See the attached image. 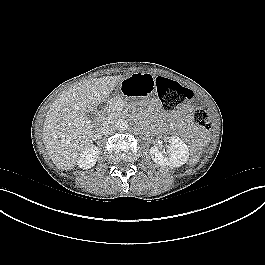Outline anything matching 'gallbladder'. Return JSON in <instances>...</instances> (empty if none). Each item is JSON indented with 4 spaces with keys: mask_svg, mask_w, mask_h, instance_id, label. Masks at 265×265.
Segmentation results:
<instances>
[{
    "mask_svg": "<svg viewBox=\"0 0 265 265\" xmlns=\"http://www.w3.org/2000/svg\"><path fill=\"white\" fill-rule=\"evenodd\" d=\"M86 115L92 120L96 117V115L94 113H92V112L87 113Z\"/></svg>",
    "mask_w": 265,
    "mask_h": 265,
    "instance_id": "bac80fb5",
    "label": "gallbladder"
}]
</instances>
